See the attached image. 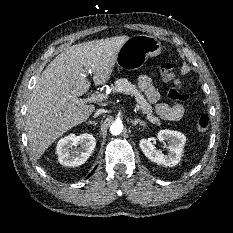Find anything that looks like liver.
I'll return each instance as SVG.
<instances>
[{
    "instance_id": "obj_1",
    "label": "liver",
    "mask_w": 233,
    "mask_h": 233,
    "mask_svg": "<svg viewBox=\"0 0 233 233\" xmlns=\"http://www.w3.org/2000/svg\"><path fill=\"white\" fill-rule=\"evenodd\" d=\"M128 38L123 35L72 45L45 68L32 90L26 114L27 137L36 160L69 129L89 118L95 106L73 99L89 90L88 71L96 85L110 79L117 54Z\"/></svg>"
}]
</instances>
